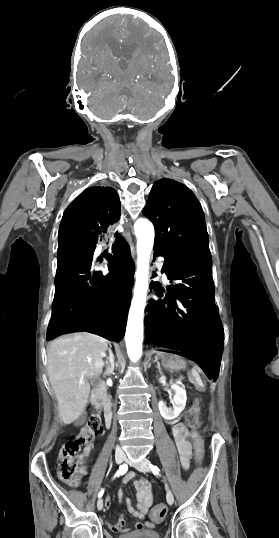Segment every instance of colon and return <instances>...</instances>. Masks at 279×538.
<instances>
[{"mask_svg": "<svg viewBox=\"0 0 279 538\" xmlns=\"http://www.w3.org/2000/svg\"><path fill=\"white\" fill-rule=\"evenodd\" d=\"M186 422L192 429V441L196 460L199 464L204 461L205 447L203 438L196 432L200 426V408L197 404L192 406L186 414ZM104 430L102 421L98 415H91L87 424L77 433L70 437L62 446L58 458L59 477L70 485H77L83 472L76 459L84 445L90 444L93 439ZM167 513L164 504H159L152 509L151 519L155 522L161 521Z\"/></svg>", "mask_w": 279, "mask_h": 538, "instance_id": "1", "label": "colon"}]
</instances>
